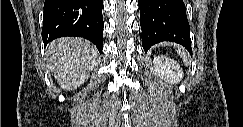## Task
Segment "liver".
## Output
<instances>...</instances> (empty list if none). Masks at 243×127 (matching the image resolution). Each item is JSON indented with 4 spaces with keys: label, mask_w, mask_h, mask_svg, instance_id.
Segmentation results:
<instances>
[{
    "label": "liver",
    "mask_w": 243,
    "mask_h": 127,
    "mask_svg": "<svg viewBox=\"0 0 243 127\" xmlns=\"http://www.w3.org/2000/svg\"><path fill=\"white\" fill-rule=\"evenodd\" d=\"M49 70L64 90H74L89 77L96 65L98 51L93 44L81 38H59L47 49Z\"/></svg>",
    "instance_id": "6515ba94"
}]
</instances>
